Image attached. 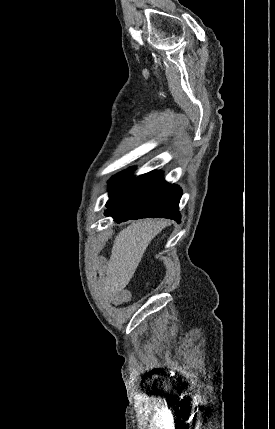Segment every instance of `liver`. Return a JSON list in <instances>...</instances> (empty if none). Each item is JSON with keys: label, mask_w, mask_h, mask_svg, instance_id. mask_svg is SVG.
<instances>
[{"label": "liver", "mask_w": 275, "mask_h": 429, "mask_svg": "<svg viewBox=\"0 0 275 429\" xmlns=\"http://www.w3.org/2000/svg\"><path fill=\"white\" fill-rule=\"evenodd\" d=\"M166 224L165 220H138L118 233L105 279V285L112 293L117 294L128 285L148 244Z\"/></svg>", "instance_id": "6515ba94"}]
</instances>
